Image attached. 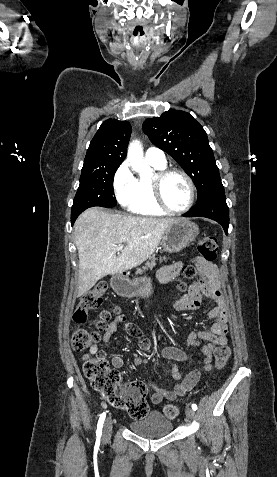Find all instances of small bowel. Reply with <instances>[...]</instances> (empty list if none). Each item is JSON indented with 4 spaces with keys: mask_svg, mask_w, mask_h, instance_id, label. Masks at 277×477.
Returning a JSON list of instances; mask_svg holds the SVG:
<instances>
[{
    "mask_svg": "<svg viewBox=\"0 0 277 477\" xmlns=\"http://www.w3.org/2000/svg\"><path fill=\"white\" fill-rule=\"evenodd\" d=\"M195 265L198 270L200 281L198 284L192 286L188 294L176 303V309L180 311L196 309L201 304L202 296L214 301V307L207 314L208 319L212 321L209 328L204 331L192 332L186 339V343L189 346H199L201 341H205V344L202 345L204 358L200 361L194 362L198 368L187 374H182L177 366H173L171 374L178 383L172 390L159 388L152 381H148V384L153 389V392L150 395V400L154 404L160 403L164 399L175 400L193 389L198 383L201 373L203 371L211 370L214 348L216 346L226 345L227 343L228 310L225 298L221 291L220 273L212 262L203 257H197L195 259ZM183 268L184 264L181 262L164 266L158 272V279L162 283H167L176 278ZM125 321L126 316L120 314L107 326L102 341L108 345V348L114 347L120 342V339L111 342V337L117 331L118 325ZM125 329L129 335L138 339V346L141 350H150V340L141 333L136 325L126 323ZM90 353L92 355L105 357L107 349L101 350L97 344H93L90 348ZM161 355L163 358L175 362H186L189 360L188 355L182 349L174 346L164 348ZM111 363L115 369H121L124 365V359L121 355H114ZM143 363L144 359L137 357L133 361V367L137 368Z\"/></svg>",
    "mask_w": 277,
    "mask_h": 477,
    "instance_id": "c3829d8e",
    "label": "small bowel"
}]
</instances>
